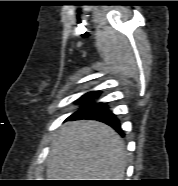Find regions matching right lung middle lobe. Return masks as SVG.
Returning <instances> with one entry per match:
<instances>
[{
	"label": "right lung middle lobe",
	"instance_id": "dd1d6c3e",
	"mask_svg": "<svg viewBox=\"0 0 178 186\" xmlns=\"http://www.w3.org/2000/svg\"><path fill=\"white\" fill-rule=\"evenodd\" d=\"M100 95V91H91L83 95L79 100V104H83L81 108L87 104L90 103L92 100L96 99Z\"/></svg>",
	"mask_w": 178,
	"mask_h": 186
}]
</instances>
